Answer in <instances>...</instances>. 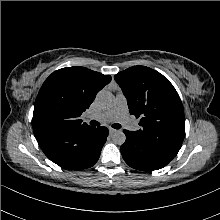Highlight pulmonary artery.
Wrapping results in <instances>:
<instances>
[{
	"label": "pulmonary artery",
	"instance_id": "obj_1",
	"mask_svg": "<svg viewBox=\"0 0 220 220\" xmlns=\"http://www.w3.org/2000/svg\"><path fill=\"white\" fill-rule=\"evenodd\" d=\"M88 118L102 123L118 121L128 130L134 131L137 129L136 124L128 114L127 100L122 92L116 93L114 104L108 111Z\"/></svg>",
	"mask_w": 220,
	"mask_h": 220
}]
</instances>
